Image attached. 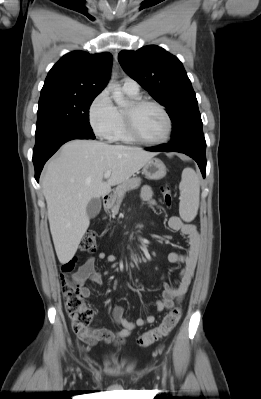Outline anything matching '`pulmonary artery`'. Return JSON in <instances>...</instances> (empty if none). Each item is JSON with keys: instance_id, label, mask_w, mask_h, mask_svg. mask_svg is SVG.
I'll return each mask as SVG.
<instances>
[{"instance_id": "obj_1", "label": "pulmonary artery", "mask_w": 261, "mask_h": 399, "mask_svg": "<svg viewBox=\"0 0 261 399\" xmlns=\"http://www.w3.org/2000/svg\"><path fill=\"white\" fill-rule=\"evenodd\" d=\"M122 88L125 92L136 94L139 92V84L130 77L122 80Z\"/></svg>"}]
</instances>
